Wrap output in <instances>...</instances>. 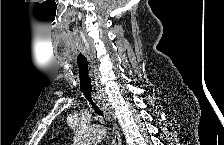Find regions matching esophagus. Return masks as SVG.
I'll return each instance as SVG.
<instances>
[{"instance_id":"obj_1","label":"esophagus","mask_w":224,"mask_h":145,"mask_svg":"<svg viewBox=\"0 0 224 145\" xmlns=\"http://www.w3.org/2000/svg\"><path fill=\"white\" fill-rule=\"evenodd\" d=\"M96 99H97L98 105H101V109L104 111L108 119H111L112 121L115 122L116 118L114 115L113 107L105 98L103 90L100 89L99 91H97ZM113 143L114 145L122 144L121 135L119 133L116 123H114V126H113Z\"/></svg>"}]
</instances>
